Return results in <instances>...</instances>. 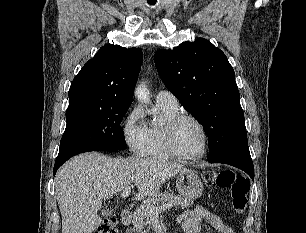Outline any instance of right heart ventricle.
<instances>
[{
    "label": "right heart ventricle",
    "mask_w": 306,
    "mask_h": 233,
    "mask_svg": "<svg viewBox=\"0 0 306 233\" xmlns=\"http://www.w3.org/2000/svg\"><path fill=\"white\" fill-rule=\"evenodd\" d=\"M158 110L163 118L162 123H151L148 127L147 155L155 159H168L172 154L167 148L165 141V125L168 120L178 115V108H171L157 104Z\"/></svg>",
    "instance_id": "right-heart-ventricle-1"
}]
</instances>
